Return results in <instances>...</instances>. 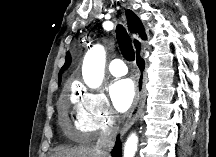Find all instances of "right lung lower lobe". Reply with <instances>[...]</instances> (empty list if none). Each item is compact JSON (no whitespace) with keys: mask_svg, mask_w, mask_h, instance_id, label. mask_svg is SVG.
I'll list each match as a JSON object with an SVG mask.
<instances>
[{"mask_svg":"<svg viewBox=\"0 0 216 157\" xmlns=\"http://www.w3.org/2000/svg\"><path fill=\"white\" fill-rule=\"evenodd\" d=\"M111 156H112V157H122V153H121V143H120V138H119V136L117 137L115 146H114L113 150L111 151Z\"/></svg>","mask_w":216,"mask_h":157,"instance_id":"obj_1","label":"right lung lower lobe"}]
</instances>
